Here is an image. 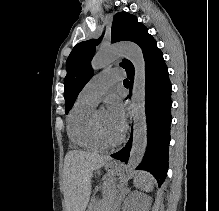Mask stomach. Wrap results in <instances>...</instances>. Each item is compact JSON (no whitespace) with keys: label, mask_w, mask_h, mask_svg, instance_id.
I'll return each instance as SVG.
<instances>
[{"label":"stomach","mask_w":219,"mask_h":211,"mask_svg":"<svg viewBox=\"0 0 219 211\" xmlns=\"http://www.w3.org/2000/svg\"><path fill=\"white\" fill-rule=\"evenodd\" d=\"M121 164L116 161H110L105 165L106 170L111 173L115 174L121 170Z\"/></svg>","instance_id":"stomach-1"}]
</instances>
